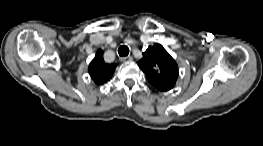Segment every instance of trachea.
<instances>
[{
	"instance_id": "1",
	"label": "trachea",
	"mask_w": 263,
	"mask_h": 146,
	"mask_svg": "<svg viewBox=\"0 0 263 146\" xmlns=\"http://www.w3.org/2000/svg\"><path fill=\"white\" fill-rule=\"evenodd\" d=\"M118 54L120 56H128L129 48L127 46H125V45L120 46L119 49H118Z\"/></svg>"
}]
</instances>
